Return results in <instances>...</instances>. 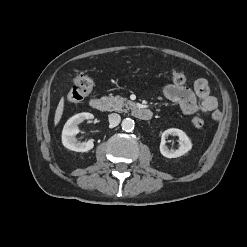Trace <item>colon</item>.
<instances>
[{
    "label": "colon",
    "instance_id": "1",
    "mask_svg": "<svg viewBox=\"0 0 247 247\" xmlns=\"http://www.w3.org/2000/svg\"><path fill=\"white\" fill-rule=\"evenodd\" d=\"M172 81L176 85H184L186 82V76L183 72L174 71L172 73ZM92 88L93 80L82 73H78L73 80L72 88L67 93V100L70 103L81 102L90 94ZM192 124L195 128L201 129L204 126V121L199 117H193Z\"/></svg>",
    "mask_w": 247,
    "mask_h": 247
}]
</instances>
